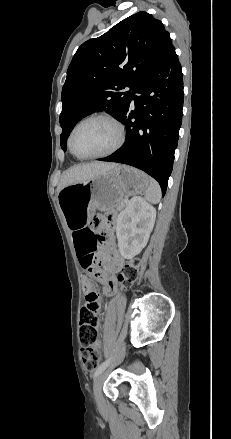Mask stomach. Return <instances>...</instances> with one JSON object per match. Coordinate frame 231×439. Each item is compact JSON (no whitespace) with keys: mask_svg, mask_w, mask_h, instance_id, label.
I'll return each instance as SVG.
<instances>
[{"mask_svg":"<svg viewBox=\"0 0 231 439\" xmlns=\"http://www.w3.org/2000/svg\"><path fill=\"white\" fill-rule=\"evenodd\" d=\"M149 177L126 165H116L94 178L75 183L59 192V205L68 227L72 230L86 226L96 209H119L126 195L143 192Z\"/></svg>","mask_w":231,"mask_h":439,"instance_id":"1","label":"stomach"}]
</instances>
